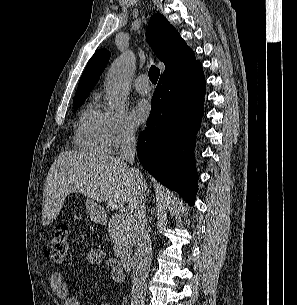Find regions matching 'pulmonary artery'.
Returning <instances> with one entry per match:
<instances>
[{
  "label": "pulmonary artery",
  "instance_id": "1",
  "mask_svg": "<svg viewBox=\"0 0 297 305\" xmlns=\"http://www.w3.org/2000/svg\"><path fill=\"white\" fill-rule=\"evenodd\" d=\"M133 86L135 90L142 95H147L151 92V86L149 85L148 76L146 74L139 75L135 79Z\"/></svg>",
  "mask_w": 297,
  "mask_h": 305
}]
</instances>
